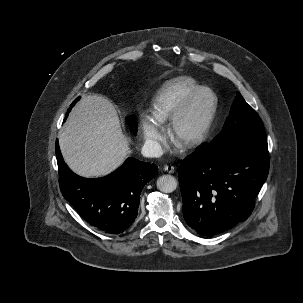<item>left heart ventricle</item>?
I'll return each instance as SVG.
<instances>
[{
  "label": "left heart ventricle",
  "instance_id": "left-heart-ventricle-1",
  "mask_svg": "<svg viewBox=\"0 0 303 303\" xmlns=\"http://www.w3.org/2000/svg\"><path fill=\"white\" fill-rule=\"evenodd\" d=\"M212 105V96L209 93H203L195 102L191 111L184 118L180 127L181 138L191 136L202 124L210 107Z\"/></svg>",
  "mask_w": 303,
  "mask_h": 303
}]
</instances>
